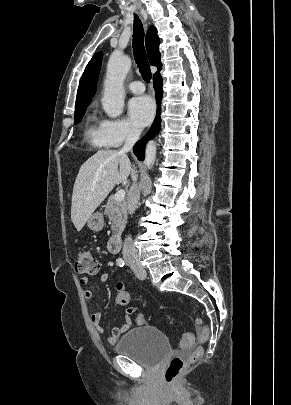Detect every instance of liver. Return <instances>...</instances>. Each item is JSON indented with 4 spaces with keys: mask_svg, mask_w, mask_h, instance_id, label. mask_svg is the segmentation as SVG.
Listing matches in <instances>:
<instances>
[{
    "mask_svg": "<svg viewBox=\"0 0 291 405\" xmlns=\"http://www.w3.org/2000/svg\"><path fill=\"white\" fill-rule=\"evenodd\" d=\"M131 172L128 156L116 150H99L84 162L72 194L71 220L77 231L82 230L115 185L125 181Z\"/></svg>",
    "mask_w": 291,
    "mask_h": 405,
    "instance_id": "6515ba94",
    "label": "liver"
}]
</instances>
